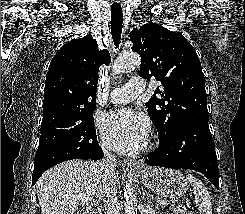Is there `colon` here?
I'll list each match as a JSON object with an SVG mask.
<instances>
[{
	"mask_svg": "<svg viewBox=\"0 0 245 214\" xmlns=\"http://www.w3.org/2000/svg\"><path fill=\"white\" fill-rule=\"evenodd\" d=\"M83 214V213H80ZM175 214H192L190 211H188L185 207L179 206L175 210Z\"/></svg>",
	"mask_w": 245,
	"mask_h": 214,
	"instance_id": "colon-1",
	"label": "colon"
}]
</instances>
